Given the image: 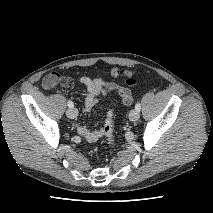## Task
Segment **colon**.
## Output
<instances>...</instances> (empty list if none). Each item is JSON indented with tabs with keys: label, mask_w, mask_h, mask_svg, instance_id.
I'll return each instance as SVG.
<instances>
[{
	"label": "colon",
	"mask_w": 213,
	"mask_h": 213,
	"mask_svg": "<svg viewBox=\"0 0 213 213\" xmlns=\"http://www.w3.org/2000/svg\"><path fill=\"white\" fill-rule=\"evenodd\" d=\"M120 72L118 70H113L112 71V76L117 77L119 76ZM127 79H126V83L128 85H133L134 84V80L131 77V73H127L126 74ZM52 80H55V78H52ZM62 81H69V79L67 78H61ZM131 94L129 89H125L122 91V95L124 97H129V95ZM113 116H114V112L113 110H108L107 114H106V118H105V122H104V126L102 128V135L107 139L109 145L112 147L114 146V125H113Z\"/></svg>",
	"instance_id": "5ec220e1"
}]
</instances>
